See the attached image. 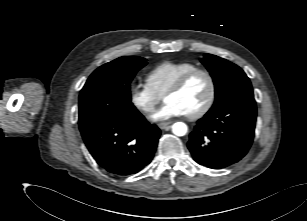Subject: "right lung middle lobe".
Wrapping results in <instances>:
<instances>
[{
  "instance_id": "dd1d6c3e",
  "label": "right lung middle lobe",
  "mask_w": 307,
  "mask_h": 221,
  "mask_svg": "<svg viewBox=\"0 0 307 221\" xmlns=\"http://www.w3.org/2000/svg\"><path fill=\"white\" fill-rule=\"evenodd\" d=\"M146 59L124 56L96 69L79 96V128L108 118H123L137 111L131 103L130 83Z\"/></svg>"
}]
</instances>
